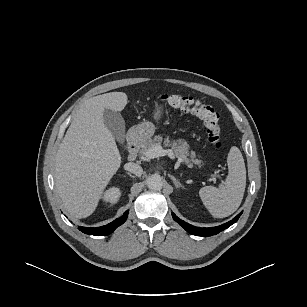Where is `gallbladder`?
Here are the masks:
<instances>
[{
	"label": "gallbladder",
	"mask_w": 307,
	"mask_h": 307,
	"mask_svg": "<svg viewBox=\"0 0 307 307\" xmlns=\"http://www.w3.org/2000/svg\"><path fill=\"white\" fill-rule=\"evenodd\" d=\"M105 126L110 130L112 135L118 140L123 141L125 138V122L119 112L105 109L103 113Z\"/></svg>",
	"instance_id": "gallbladder-1"
}]
</instances>
